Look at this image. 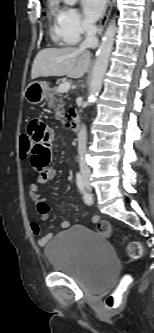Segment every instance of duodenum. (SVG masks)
Wrapping results in <instances>:
<instances>
[{"instance_id":"obj_1","label":"duodenum","mask_w":154,"mask_h":333,"mask_svg":"<svg viewBox=\"0 0 154 333\" xmlns=\"http://www.w3.org/2000/svg\"><path fill=\"white\" fill-rule=\"evenodd\" d=\"M70 129L73 133H77L80 130V118L77 114H73L70 118Z\"/></svg>"}]
</instances>
